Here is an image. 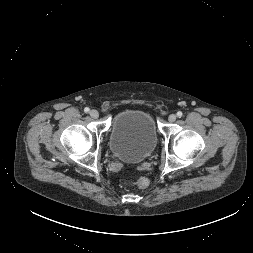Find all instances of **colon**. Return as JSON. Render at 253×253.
I'll use <instances>...</instances> for the list:
<instances>
[{
  "mask_svg": "<svg viewBox=\"0 0 253 253\" xmlns=\"http://www.w3.org/2000/svg\"><path fill=\"white\" fill-rule=\"evenodd\" d=\"M134 185L140 189H144L148 186V180L144 177H140L136 179V181L134 182Z\"/></svg>",
  "mask_w": 253,
  "mask_h": 253,
  "instance_id": "colon-1",
  "label": "colon"
}]
</instances>
